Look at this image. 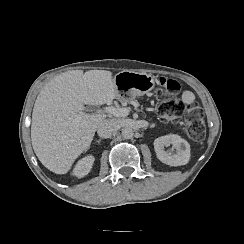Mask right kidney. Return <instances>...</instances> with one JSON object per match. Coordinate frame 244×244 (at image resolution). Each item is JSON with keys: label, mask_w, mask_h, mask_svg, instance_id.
I'll list each match as a JSON object with an SVG mask.
<instances>
[{"label": "right kidney", "mask_w": 244, "mask_h": 244, "mask_svg": "<svg viewBox=\"0 0 244 244\" xmlns=\"http://www.w3.org/2000/svg\"><path fill=\"white\" fill-rule=\"evenodd\" d=\"M94 160L95 158L92 155H88L79 160L73 169V175L78 178L86 176L90 172Z\"/></svg>", "instance_id": "1"}]
</instances>
